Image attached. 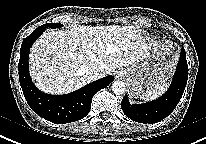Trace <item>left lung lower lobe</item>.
I'll return each mask as SVG.
<instances>
[{
  "instance_id": "1",
  "label": "left lung lower lobe",
  "mask_w": 206,
  "mask_h": 144,
  "mask_svg": "<svg viewBox=\"0 0 206 144\" xmlns=\"http://www.w3.org/2000/svg\"><path fill=\"white\" fill-rule=\"evenodd\" d=\"M188 79V65L185 49L182 48L175 75L169 89L160 98L144 103L131 105L127 95L122 99L125 115L139 123H156L166 118L179 103Z\"/></svg>"
}]
</instances>
